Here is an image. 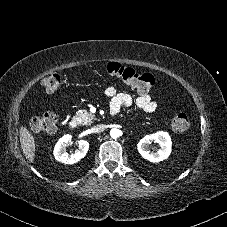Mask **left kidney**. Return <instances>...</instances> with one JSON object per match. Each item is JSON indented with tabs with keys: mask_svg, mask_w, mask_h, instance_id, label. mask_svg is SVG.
Returning <instances> with one entry per match:
<instances>
[{
	"mask_svg": "<svg viewBox=\"0 0 227 227\" xmlns=\"http://www.w3.org/2000/svg\"><path fill=\"white\" fill-rule=\"evenodd\" d=\"M155 141L160 145L157 152H150L149 144ZM172 141L167 132L160 131L155 134L144 136L138 143L137 148L141 156L151 162H160L171 154Z\"/></svg>",
	"mask_w": 227,
	"mask_h": 227,
	"instance_id": "obj_1",
	"label": "left kidney"
}]
</instances>
